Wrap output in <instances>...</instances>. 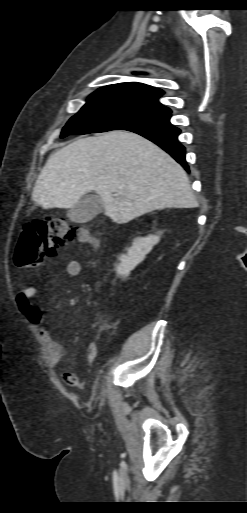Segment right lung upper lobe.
Listing matches in <instances>:
<instances>
[{
	"label": "right lung upper lobe",
	"instance_id": "obj_1",
	"mask_svg": "<svg viewBox=\"0 0 247 513\" xmlns=\"http://www.w3.org/2000/svg\"><path fill=\"white\" fill-rule=\"evenodd\" d=\"M102 89H112L128 92L136 95L137 97L141 98L142 100L150 104L163 106L159 102V98L164 94V91L146 84L136 82L119 83L103 87Z\"/></svg>",
	"mask_w": 247,
	"mask_h": 513
}]
</instances>
